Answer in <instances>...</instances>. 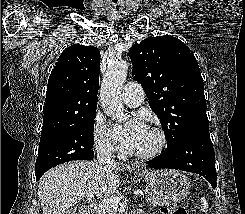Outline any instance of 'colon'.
<instances>
[{"label":"colon","mask_w":245,"mask_h":214,"mask_svg":"<svg viewBox=\"0 0 245 214\" xmlns=\"http://www.w3.org/2000/svg\"><path fill=\"white\" fill-rule=\"evenodd\" d=\"M163 214H187L186 208L182 205L164 207Z\"/></svg>","instance_id":"colon-1"}]
</instances>
